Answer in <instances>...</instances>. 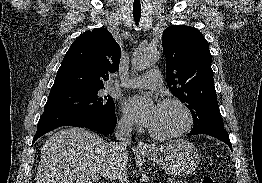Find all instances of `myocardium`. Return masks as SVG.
Returning a JSON list of instances; mask_svg holds the SVG:
<instances>
[{
  "label": "myocardium",
  "mask_w": 262,
  "mask_h": 183,
  "mask_svg": "<svg viewBox=\"0 0 262 183\" xmlns=\"http://www.w3.org/2000/svg\"><path fill=\"white\" fill-rule=\"evenodd\" d=\"M160 104H175L179 106L186 115V124L180 130L174 133H171V134H166V135L158 134L154 132L153 130L149 129V134L151 137L157 140H161V141L171 140V139H175V138L182 136L183 134L187 133L192 128L193 114H192L191 109L188 107L186 103H184L182 100L177 99V98H166L162 100Z\"/></svg>",
  "instance_id": "f54148a6"
}]
</instances>
